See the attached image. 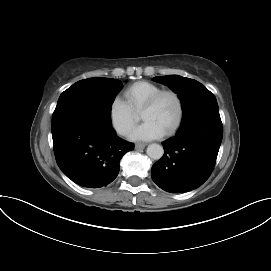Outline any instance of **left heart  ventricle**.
Masks as SVG:
<instances>
[{"instance_id": "obj_1", "label": "left heart ventricle", "mask_w": 271, "mask_h": 271, "mask_svg": "<svg viewBox=\"0 0 271 271\" xmlns=\"http://www.w3.org/2000/svg\"><path fill=\"white\" fill-rule=\"evenodd\" d=\"M177 116V104L171 95L162 96L157 104L141 112L142 120H151L165 132L172 126Z\"/></svg>"}]
</instances>
